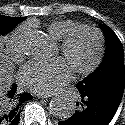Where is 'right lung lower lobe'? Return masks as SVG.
I'll list each match as a JSON object with an SVG mask.
<instances>
[{
    "label": "right lung lower lobe",
    "instance_id": "right-lung-lower-lobe-1",
    "mask_svg": "<svg viewBox=\"0 0 125 125\" xmlns=\"http://www.w3.org/2000/svg\"><path fill=\"white\" fill-rule=\"evenodd\" d=\"M7 97L11 101L8 106H0V125H18L20 120L19 107L23 102L30 100L29 93L16 94V84H13Z\"/></svg>",
    "mask_w": 125,
    "mask_h": 125
}]
</instances>
